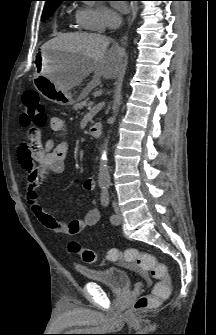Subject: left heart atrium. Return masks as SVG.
I'll use <instances>...</instances> for the list:
<instances>
[{
  "label": "left heart atrium",
  "mask_w": 216,
  "mask_h": 335,
  "mask_svg": "<svg viewBox=\"0 0 216 335\" xmlns=\"http://www.w3.org/2000/svg\"><path fill=\"white\" fill-rule=\"evenodd\" d=\"M114 5L115 8L121 12H124L126 10L125 6L120 2L114 3Z\"/></svg>",
  "instance_id": "1"
}]
</instances>
